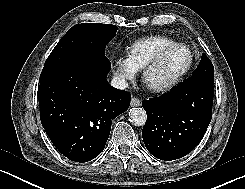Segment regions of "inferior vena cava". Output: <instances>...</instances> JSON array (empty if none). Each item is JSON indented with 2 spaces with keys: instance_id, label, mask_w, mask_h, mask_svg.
<instances>
[{
  "instance_id": "602c4592",
  "label": "inferior vena cava",
  "mask_w": 245,
  "mask_h": 189,
  "mask_svg": "<svg viewBox=\"0 0 245 189\" xmlns=\"http://www.w3.org/2000/svg\"><path fill=\"white\" fill-rule=\"evenodd\" d=\"M111 86L120 90H124L128 87V83L124 78L120 76H114L111 81Z\"/></svg>"
}]
</instances>
